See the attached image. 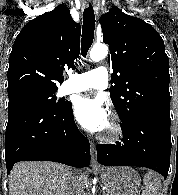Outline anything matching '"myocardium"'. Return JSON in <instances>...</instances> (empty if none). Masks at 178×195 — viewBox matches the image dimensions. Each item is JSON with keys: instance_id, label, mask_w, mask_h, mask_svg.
<instances>
[{"instance_id": "obj_1", "label": "myocardium", "mask_w": 178, "mask_h": 195, "mask_svg": "<svg viewBox=\"0 0 178 195\" xmlns=\"http://www.w3.org/2000/svg\"><path fill=\"white\" fill-rule=\"evenodd\" d=\"M110 131L108 133H102L99 136L100 141L108 144H113L118 142L124 135V128L119 119V117L112 113L110 115Z\"/></svg>"}]
</instances>
